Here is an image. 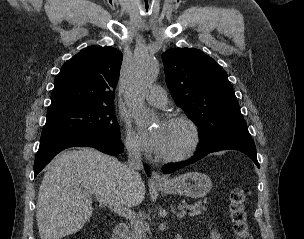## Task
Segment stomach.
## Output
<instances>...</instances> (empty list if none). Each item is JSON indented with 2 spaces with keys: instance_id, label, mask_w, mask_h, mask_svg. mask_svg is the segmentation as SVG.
<instances>
[{
  "instance_id": "stomach-1",
  "label": "stomach",
  "mask_w": 304,
  "mask_h": 239,
  "mask_svg": "<svg viewBox=\"0 0 304 239\" xmlns=\"http://www.w3.org/2000/svg\"><path fill=\"white\" fill-rule=\"evenodd\" d=\"M157 188L166 194H177L191 198H201L212 188V181L204 173L192 171L168 180Z\"/></svg>"
}]
</instances>
